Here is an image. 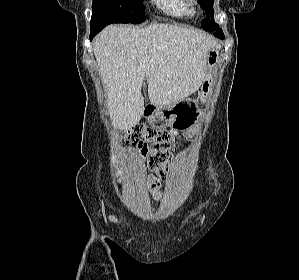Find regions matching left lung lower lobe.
I'll return each instance as SVG.
<instances>
[{
	"mask_svg": "<svg viewBox=\"0 0 299 280\" xmlns=\"http://www.w3.org/2000/svg\"><path fill=\"white\" fill-rule=\"evenodd\" d=\"M215 36L218 38L224 39V36H222V35H215Z\"/></svg>",
	"mask_w": 299,
	"mask_h": 280,
	"instance_id": "left-lung-lower-lobe-1",
	"label": "left lung lower lobe"
}]
</instances>
